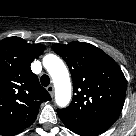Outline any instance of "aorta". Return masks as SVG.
<instances>
[{"label":"aorta","mask_w":136,"mask_h":136,"mask_svg":"<svg viewBox=\"0 0 136 136\" xmlns=\"http://www.w3.org/2000/svg\"><path fill=\"white\" fill-rule=\"evenodd\" d=\"M43 65L52 77L56 104L67 106L71 100V82L64 62L58 56L49 54L43 58Z\"/></svg>","instance_id":"762f6f07"}]
</instances>
